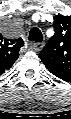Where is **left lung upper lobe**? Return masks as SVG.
Wrapping results in <instances>:
<instances>
[{"label":"left lung upper lobe","instance_id":"left-lung-upper-lobe-1","mask_svg":"<svg viewBox=\"0 0 71 119\" xmlns=\"http://www.w3.org/2000/svg\"><path fill=\"white\" fill-rule=\"evenodd\" d=\"M55 34L40 52V59L49 71L71 75V16L57 15Z\"/></svg>","mask_w":71,"mask_h":119}]
</instances>
